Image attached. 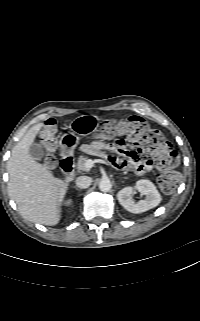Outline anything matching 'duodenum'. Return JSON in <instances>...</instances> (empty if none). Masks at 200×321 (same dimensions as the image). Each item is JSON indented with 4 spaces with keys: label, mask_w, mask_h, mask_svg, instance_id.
Returning <instances> with one entry per match:
<instances>
[{
    "label": "duodenum",
    "mask_w": 200,
    "mask_h": 321,
    "mask_svg": "<svg viewBox=\"0 0 200 321\" xmlns=\"http://www.w3.org/2000/svg\"><path fill=\"white\" fill-rule=\"evenodd\" d=\"M60 166L64 177L71 179L74 175V158L69 154H65L60 161Z\"/></svg>",
    "instance_id": "obj_1"
}]
</instances>
